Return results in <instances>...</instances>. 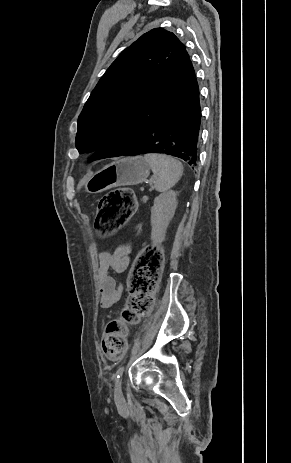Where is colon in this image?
<instances>
[{"label":"colon","mask_w":291,"mask_h":463,"mask_svg":"<svg viewBox=\"0 0 291 463\" xmlns=\"http://www.w3.org/2000/svg\"><path fill=\"white\" fill-rule=\"evenodd\" d=\"M136 209L134 193L129 188H118L105 194L98 203L96 230L108 234L123 226ZM163 266V253L156 246H147L138 254L129 273L128 300L120 319L111 320L103 333L102 350L106 357L119 359L126 349V325L136 323L153 306Z\"/></svg>","instance_id":"colon-1"}]
</instances>
